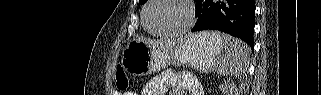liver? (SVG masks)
<instances>
[{"instance_id":"obj_1","label":"liver","mask_w":321,"mask_h":95,"mask_svg":"<svg viewBox=\"0 0 321 95\" xmlns=\"http://www.w3.org/2000/svg\"><path fill=\"white\" fill-rule=\"evenodd\" d=\"M147 44H150L151 46L166 50V49H171L177 45H179L182 41L181 40H169L168 42H161L158 40H150V39H141Z\"/></svg>"}]
</instances>
